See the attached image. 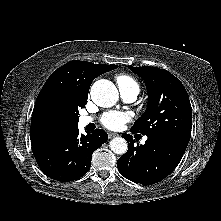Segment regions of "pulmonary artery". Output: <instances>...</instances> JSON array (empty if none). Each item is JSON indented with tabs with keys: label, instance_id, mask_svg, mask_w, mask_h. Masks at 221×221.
Masks as SVG:
<instances>
[{
	"label": "pulmonary artery",
	"instance_id": "e3ab8cb5",
	"mask_svg": "<svg viewBox=\"0 0 221 221\" xmlns=\"http://www.w3.org/2000/svg\"><path fill=\"white\" fill-rule=\"evenodd\" d=\"M119 91L121 94V97L127 101V102H133L136 100L137 95L139 93V90L134 87L124 86L121 84H118ZM93 121V118L90 116H84L79 119V123L81 126H86L87 124L91 123ZM146 137L143 138L142 142L146 141Z\"/></svg>",
	"mask_w": 221,
	"mask_h": 221
}]
</instances>
